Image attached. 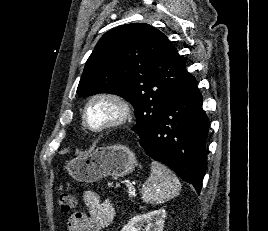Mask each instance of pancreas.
Masks as SVG:
<instances>
[{
    "label": "pancreas",
    "instance_id": "obj_1",
    "mask_svg": "<svg viewBox=\"0 0 268 231\" xmlns=\"http://www.w3.org/2000/svg\"><path fill=\"white\" fill-rule=\"evenodd\" d=\"M119 186V184H116V187H118Z\"/></svg>",
    "mask_w": 268,
    "mask_h": 231
}]
</instances>
